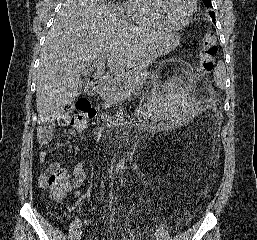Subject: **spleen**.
Returning <instances> with one entry per match:
<instances>
[{
  "instance_id": "spleen-1",
  "label": "spleen",
  "mask_w": 257,
  "mask_h": 240,
  "mask_svg": "<svg viewBox=\"0 0 257 240\" xmlns=\"http://www.w3.org/2000/svg\"><path fill=\"white\" fill-rule=\"evenodd\" d=\"M214 79L216 84L220 87H224V81H225V66L223 62H219L217 65V69L214 72Z\"/></svg>"
}]
</instances>
